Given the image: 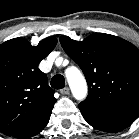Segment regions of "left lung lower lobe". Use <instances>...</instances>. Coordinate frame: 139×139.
<instances>
[{"label": "left lung lower lobe", "instance_id": "obj_1", "mask_svg": "<svg viewBox=\"0 0 139 139\" xmlns=\"http://www.w3.org/2000/svg\"><path fill=\"white\" fill-rule=\"evenodd\" d=\"M79 109L90 125L110 133L125 129L139 116V106L117 110H96L79 105Z\"/></svg>", "mask_w": 139, "mask_h": 139}]
</instances>
